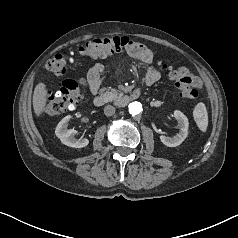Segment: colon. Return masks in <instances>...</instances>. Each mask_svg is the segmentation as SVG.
<instances>
[{
	"instance_id": "1",
	"label": "colon",
	"mask_w": 238,
	"mask_h": 238,
	"mask_svg": "<svg viewBox=\"0 0 238 238\" xmlns=\"http://www.w3.org/2000/svg\"><path fill=\"white\" fill-rule=\"evenodd\" d=\"M137 44L138 42L125 36L103 37L86 41L79 45L77 50L83 56L97 58L122 51H130ZM69 55L70 52L67 51L55 54L46 61L45 68L56 75H64L68 69ZM159 68L168 73L181 97L191 100L198 98L200 82L186 68L173 67L166 62L159 63ZM81 99L80 82L75 79H66L57 90L48 92L45 111L51 116L58 115L67 110H73Z\"/></svg>"
}]
</instances>
